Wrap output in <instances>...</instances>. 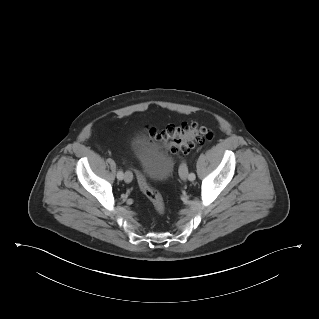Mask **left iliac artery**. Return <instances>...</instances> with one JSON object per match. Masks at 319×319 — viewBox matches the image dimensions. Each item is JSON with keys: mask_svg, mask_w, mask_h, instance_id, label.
<instances>
[{"mask_svg": "<svg viewBox=\"0 0 319 319\" xmlns=\"http://www.w3.org/2000/svg\"><path fill=\"white\" fill-rule=\"evenodd\" d=\"M182 164H183V163H182ZM182 164H181L180 168H181V167H183V165H182ZM179 170H180V169H179ZM195 178H196V176H195V174H194V173H190V174H189V180H190V181H194V180H195Z\"/></svg>", "mask_w": 319, "mask_h": 319, "instance_id": "1", "label": "left iliac artery"}]
</instances>
